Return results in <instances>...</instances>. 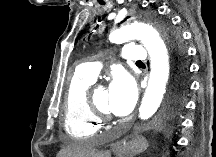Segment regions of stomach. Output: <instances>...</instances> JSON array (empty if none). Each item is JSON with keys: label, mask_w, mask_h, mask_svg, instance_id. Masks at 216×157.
I'll use <instances>...</instances> for the list:
<instances>
[{"label": "stomach", "mask_w": 216, "mask_h": 157, "mask_svg": "<svg viewBox=\"0 0 216 157\" xmlns=\"http://www.w3.org/2000/svg\"><path fill=\"white\" fill-rule=\"evenodd\" d=\"M148 146L146 139L143 136H135L132 139L123 142L122 151L127 155H136L143 152Z\"/></svg>", "instance_id": "0dacf381"}]
</instances>
